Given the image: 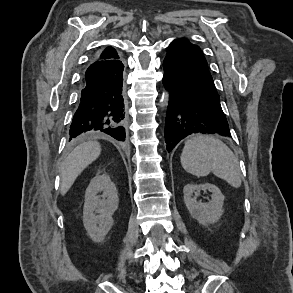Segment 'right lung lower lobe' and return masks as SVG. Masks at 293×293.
<instances>
[{
    "mask_svg": "<svg viewBox=\"0 0 293 293\" xmlns=\"http://www.w3.org/2000/svg\"><path fill=\"white\" fill-rule=\"evenodd\" d=\"M123 68L120 60L93 62L88 67L69 141L78 136L103 135L125 140Z\"/></svg>",
    "mask_w": 293,
    "mask_h": 293,
    "instance_id": "98d812e1",
    "label": "right lung lower lobe"
}]
</instances>
